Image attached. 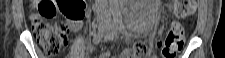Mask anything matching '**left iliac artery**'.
Wrapping results in <instances>:
<instances>
[{
    "label": "left iliac artery",
    "instance_id": "44dca946",
    "mask_svg": "<svg viewBox=\"0 0 225 58\" xmlns=\"http://www.w3.org/2000/svg\"><path fill=\"white\" fill-rule=\"evenodd\" d=\"M114 19L116 20L118 30L123 34H126L127 32H126L125 26H124L123 22L121 21V19L118 16L115 17Z\"/></svg>",
    "mask_w": 225,
    "mask_h": 58
}]
</instances>
